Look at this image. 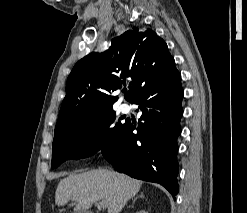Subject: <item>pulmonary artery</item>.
Returning a JSON list of instances; mask_svg holds the SVG:
<instances>
[{"mask_svg":"<svg viewBox=\"0 0 247 213\" xmlns=\"http://www.w3.org/2000/svg\"><path fill=\"white\" fill-rule=\"evenodd\" d=\"M119 110L123 113H127L130 110V106L126 103H122L119 105Z\"/></svg>","mask_w":247,"mask_h":213,"instance_id":"obj_1","label":"pulmonary artery"}]
</instances>
